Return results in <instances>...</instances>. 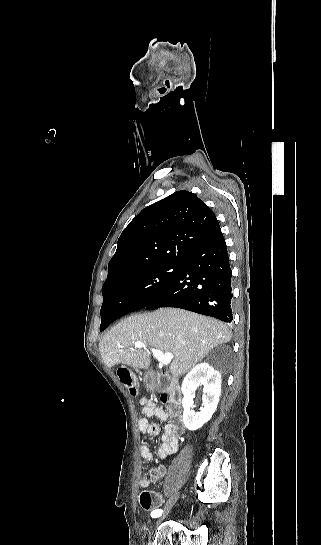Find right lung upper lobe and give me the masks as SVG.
Returning <instances> with one entry per match:
<instances>
[{
  "mask_svg": "<svg viewBox=\"0 0 321 545\" xmlns=\"http://www.w3.org/2000/svg\"><path fill=\"white\" fill-rule=\"evenodd\" d=\"M219 229L213 211L195 194H171L143 209L124 229L102 288L157 265H182Z\"/></svg>",
  "mask_w": 321,
  "mask_h": 545,
  "instance_id": "right-lung-upper-lobe-1",
  "label": "right lung upper lobe"
}]
</instances>
